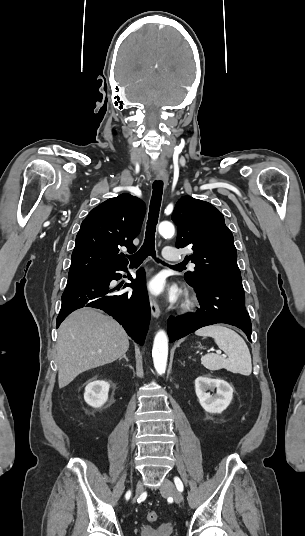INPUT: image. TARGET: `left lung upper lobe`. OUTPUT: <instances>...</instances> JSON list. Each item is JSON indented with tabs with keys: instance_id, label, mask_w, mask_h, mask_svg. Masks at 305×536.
Returning <instances> with one entry per match:
<instances>
[{
	"instance_id": "left-lung-upper-lobe-1",
	"label": "left lung upper lobe",
	"mask_w": 305,
	"mask_h": 536,
	"mask_svg": "<svg viewBox=\"0 0 305 536\" xmlns=\"http://www.w3.org/2000/svg\"><path fill=\"white\" fill-rule=\"evenodd\" d=\"M172 220L178 226L177 248L192 246L188 257L195 271L184 277L192 286H242L237 250L232 232L222 213L208 202L183 196L177 202Z\"/></svg>"
}]
</instances>
